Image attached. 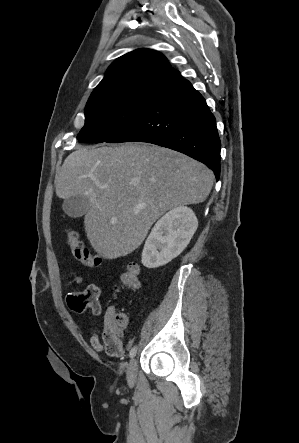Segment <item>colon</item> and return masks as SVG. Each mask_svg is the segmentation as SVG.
Listing matches in <instances>:
<instances>
[{"label":"colon","mask_w":299,"mask_h":443,"mask_svg":"<svg viewBox=\"0 0 299 443\" xmlns=\"http://www.w3.org/2000/svg\"><path fill=\"white\" fill-rule=\"evenodd\" d=\"M66 240L73 255L86 266L99 265L101 258L91 249L85 247L79 235L74 230H67ZM139 287V267L136 263H129L122 272L116 291L121 289L135 290ZM126 317L123 314H113L106 322V328L114 335L122 333L126 326Z\"/></svg>","instance_id":"obj_1"}]
</instances>
